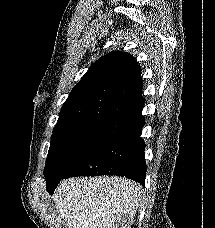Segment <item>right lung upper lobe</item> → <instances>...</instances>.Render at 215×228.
Returning a JSON list of instances; mask_svg holds the SVG:
<instances>
[{"label":"right lung upper lobe","instance_id":"cb5924a9","mask_svg":"<svg viewBox=\"0 0 215 228\" xmlns=\"http://www.w3.org/2000/svg\"><path fill=\"white\" fill-rule=\"evenodd\" d=\"M141 68L128 53L115 51L92 64L63 104L53 132L108 119L134 124L141 114Z\"/></svg>","mask_w":215,"mask_h":228}]
</instances>
